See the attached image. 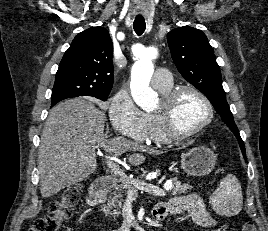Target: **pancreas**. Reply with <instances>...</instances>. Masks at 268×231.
I'll list each match as a JSON object with an SVG mask.
<instances>
[{
    "label": "pancreas",
    "mask_w": 268,
    "mask_h": 231,
    "mask_svg": "<svg viewBox=\"0 0 268 231\" xmlns=\"http://www.w3.org/2000/svg\"><path fill=\"white\" fill-rule=\"evenodd\" d=\"M147 172L143 171V174L140 175V178L133 179L135 181H141L143 176H145ZM129 183L126 181H122L121 179L117 181L116 186L114 187L113 191L109 193V197L107 199V203L104 205L103 211L106 216L110 215L113 216L114 219L119 216L120 208L122 202H124V197L128 193ZM166 187H171L169 192L172 195H177L181 193H187L188 190L192 189V186L188 183H181L177 180V178H170L167 183Z\"/></svg>",
    "instance_id": "pancreas-1"
}]
</instances>
